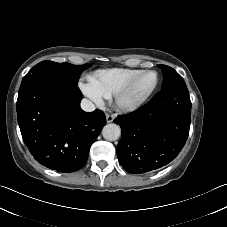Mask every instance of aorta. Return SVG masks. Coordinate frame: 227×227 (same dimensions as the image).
<instances>
[{
	"mask_svg": "<svg viewBox=\"0 0 227 227\" xmlns=\"http://www.w3.org/2000/svg\"><path fill=\"white\" fill-rule=\"evenodd\" d=\"M121 129L117 124L111 123L104 126L102 130L103 138L108 141H114L120 137Z\"/></svg>",
	"mask_w": 227,
	"mask_h": 227,
	"instance_id": "aorta-1",
	"label": "aorta"
}]
</instances>
